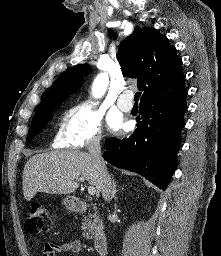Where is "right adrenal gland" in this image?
<instances>
[{
    "mask_svg": "<svg viewBox=\"0 0 221 256\" xmlns=\"http://www.w3.org/2000/svg\"><path fill=\"white\" fill-rule=\"evenodd\" d=\"M117 188H116V182L114 181V179L112 180V192H111V198L113 199L116 197V193H117Z\"/></svg>",
    "mask_w": 221,
    "mask_h": 256,
    "instance_id": "right-adrenal-gland-1",
    "label": "right adrenal gland"
}]
</instances>
